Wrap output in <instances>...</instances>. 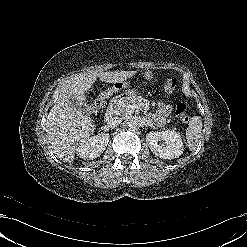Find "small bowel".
Listing matches in <instances>:
<instances>
[{
    "label": "small bowel",
    "mask_w": 247,
    "mask_h": 247,
    "mask_svg": "<svg viewBox=\"0 0 247 247\" xmlns=\"http://www.w3.org/2000/svg\"><path fill=\"white\" fill-rule=\"evenodd\" d=\"M144 77L147 80H151L154 77V71L152 70H148L144 73ZM172 108L170 105H165L163 103H160L158 105V109L155 112V114L153 115V119L154 122L158 125H161L164 123V121L166 120V118L169 116V114L171 113Z\"/></svg>",
    "instance_id": "c3829d8e"
}]
</instances>
